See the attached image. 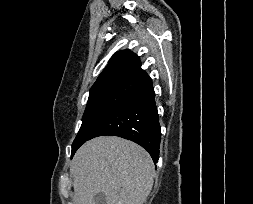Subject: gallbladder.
I'll return each mask as SVG.
<instances>
[{"instance_id":"obj_1","label":"gallbladder","mask_w":253,"mask_h":204,"mask_svg":"<svg viewBox=\"0 0 253 204\" xmlns=\"http://www.w3.org/2000/svg\"><path fill=\"white\" fill-rule=\"evenodd\" d=\"M95 204H106V196L103 193H97L94 196Z\"/></svg>"}]
</instances>
